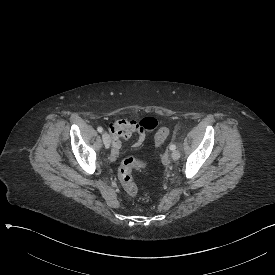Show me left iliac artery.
Listing matches in <instances>:
<instances>
[{"label":"left iliac artery","mask_w":275,"mask_h":275,"mask_svg":"<svg viewBox=\"0 0 275 275\" xmlns=\"http://www.w3.org/2000/svg\"><path fill=\"white\" fill-rule=\"evenodd\" d=\"M170 149H171V150H175V149H176L175 143H171V144H170Z\"/></svg>","instance_id":"left-iliac-artery-1"}]
</instances>
